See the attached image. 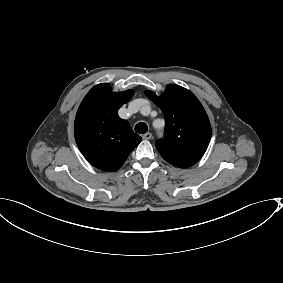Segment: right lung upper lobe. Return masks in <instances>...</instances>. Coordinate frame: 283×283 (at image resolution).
<instances>
[{"label": "right lung upper lobe", "mask_w": 283, "mask_h": 283, "mask_svg": "<svg viewBox=\"0 0 283 283\" xmlns=\"http://www.w3.org/2000/svg\"><path fill=\"white\" fill-rule=\"evenodd\" d=\"M133 96V90L112 92L109 84L93 87L83 99L75 118L76 143L96 168L114 172L141 142L118 109Z\"/></svg>", "instance_id": "1"}]
</instances>
